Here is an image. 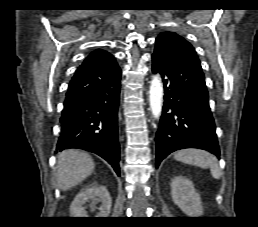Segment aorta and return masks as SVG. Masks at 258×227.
<instances>
[{"label": "aorta", "instance_id": "762f6f07", "mask_svg": "<svg viewBox=\"0 0 258 227\" xmlns=\"http://www.w3.org/2000/svg\"><path fill=\"white\" fill-rule=\"evenodd\" d=\"M149 103L154 118L158 119L163 106V84L158 75L153 76L150 84Z\"/></svg>", "mask_w": 258, "mask_h": 227}]
</instances>
